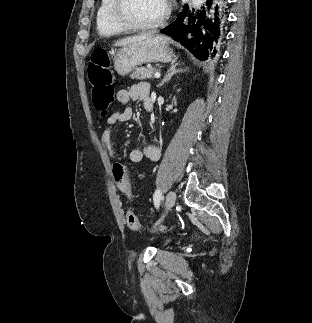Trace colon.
Instances as JSON below:
<instances>
[{"mask_svg": "<svg viewBox=\"0 0 312 323\" xmlns=\"http://www.w3.org/2000/svg\"><path fill=\"white\" fill-rule=\"evenodd\" d=\"M111 60L109 52L105 49H97L93 52L91 62L88 65V74L90 83L93 86L92 104L95 109L107 111L111 105L114 97V81L113 76L109 70ZM113 167V176L119 187L124 193H129L128 182L126 180V167L125 162L120 160L115 161ZM129 197V194H126ZM125 217H127V225L133 232H140L143 229L140 221L135 217L134 210H125ZM165 226H160L159 231H164Z\"/></svg>", "mask_w": 312, "mask_h": 323, "instance_id": "colon-1", "label": "colon"}]
</instances>
